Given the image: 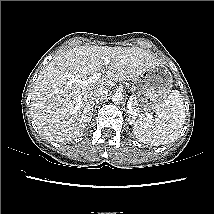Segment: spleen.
Segmentation results:
<instances>
[{
	"label": "spleen",
	"instance_id": "1",
	"mask_svg": "<svg viewBox=\"0 0 214 214\" xmlns=\"http://www.w3.org/2000/svg\"><path fill=\"white\" fill-rule=\"evenodd\" d=\"M185 121V108L181 94L172 90L167 99L156 109L155 116L134 121L133 132L142 142L154 146L165 145L180 134Z\"/></svg>",
	"mask_w": 214,
	"mask_h": 214
}]
</instances>
